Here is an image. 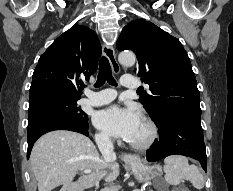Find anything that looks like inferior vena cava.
<instances>
[{"instance_id":"1","label":"inferior vena cava","mask_w":233,"mask_h":191,"mask_svg":"<svg viewBox=\"0 0 233 191\" xmlns=\"http://www.w3.org/2000/svg\"><path fill=\"white\" fill-rule=\"evenodd\" d=\"M98 147L105 161L114 162L116 160V154L114 152L113 142L110 140L109 137H104L99 142Z\"/></svg>"}]
</instances>
